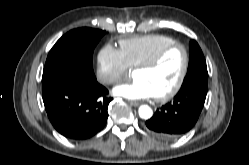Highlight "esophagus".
I'll return each instance as SVG.
<instances>
[{
  "label": "esophagus",
  "instance_id": "34e87169",
  "mask_svg": "<svg viewBox=\"0 0 249 165\" xmlns=\"http://www.w3.org/2000/svg\"><path fill=\"white\" fill-rule=\"evenodd\" d=\"M129 103L131 106H134V107H138L140 105V103L137 101H129Z\"/></svg>",
  "mask_w": 249,
  "mask_h": 165
}]
</instances>
